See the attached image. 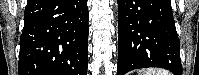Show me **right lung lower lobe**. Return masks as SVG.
I'll return each mask as SVG.
<instances>
[{"label":"right lung lower lobe","mask_w":199,"mask_h":75,"mask_svg":"<svg viewBox=\"0 0 199 75\" xmlns=\"http://www.w3.org/2000/svg\"><path fill=\"white\" fill-rule=\"evenodd\" d=\"M87 0H27L19 75H86Z\"/></svg>","instance_id":"right-lung-lower-lobe-1"}]
</instances>
